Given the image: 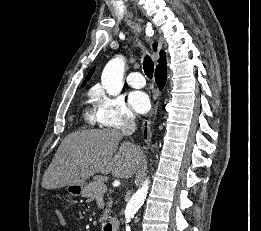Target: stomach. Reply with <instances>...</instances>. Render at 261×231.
Wrapping results in <instances>:
<instances>
[{
    "label": "stomach",
    "mask_w": 261,
    "mask_h": 231,
    "mask_svg": "<svg viewBox=\"0 0 261 231\" xmlns=\"http://www.w3.org/2000/svg\"><path fill=\"white\" fill-rule=\"evenodd\" d=\"M86 184H75L68 186V192L73 196H83L85 194Z\"/></svg>",
    "instance_id": "obj_1"
}]
</instances>
